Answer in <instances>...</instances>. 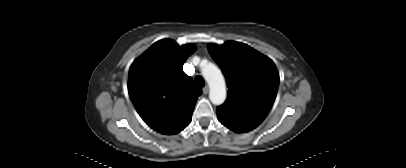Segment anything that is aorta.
<instances>
[{"label":"aorta","instance_id":"aorta-1","mask_svg":"<svg viewBox=\"0 0 406 168\" xmlns=\"http://www.w3.org/2000/svg\"><path fill=\"white\" fill-rule=\"evenodd\" d=\"M210 87L209 98L214 105H221L226 99V83L220 69L213 63H206L201 69Z\"/></svg>","mask_w":406,"mask_h":168}]
</instances>
